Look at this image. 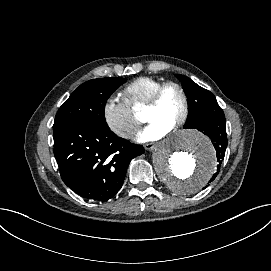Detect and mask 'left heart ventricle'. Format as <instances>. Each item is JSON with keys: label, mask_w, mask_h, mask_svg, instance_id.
<instances>
[{"label": "left heart ventricle", "mask_w": 271, "mask_h": 271, "mask_svg": "<svg viewBox=\"0 0 271 271\" xmlns=\"http://www.w3.org/2000/svg\"><path fill=\"white\" fill-rule=\"evenodd\" d=\"M183 111V95L178 88L171 86L162 94L158 108L145 111L144 119L148 123H157L171 131L174 123L181 117Z\"/></svg>", "instance_id": "b2bd125f"}]
</instances>
